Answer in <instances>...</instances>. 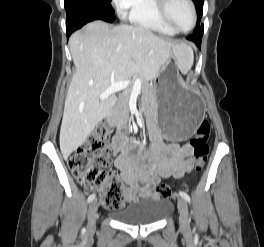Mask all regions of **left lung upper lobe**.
Wrapping results in <instances>:
<instances>
[{
	"label": "left lung upper lobe",
	"instance_id": "1",
	"mask_svg": "<svg viewBox=\"0 0 264 247\" xmlns=\"http://www.w3.org/2000/svg\"><path fill=\"white\" fill-rule=\"evenodd\" d=\"M193 2L195 3L196 5V11H197V15H198V21H197V26L194 30L193 33H197V32H202L203 29L200 28L199 26V22L201 20V17H202V12H203V2L204 0H193ZM203 26V25H202Z\"/></svg>",
	"mask_w": 264,
	"mask_h": 247
}]
</instances>
